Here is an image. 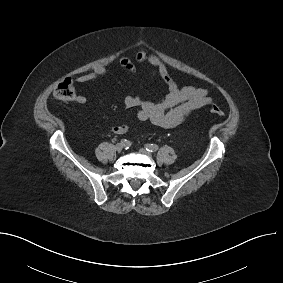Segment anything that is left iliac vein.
I'll return each instance as SVG.
<instances>
[{
    "label": "left iliac vein",
    "mask_w": 283,
    "mask_h": 283,
    "mask_svg": "<svg viewBox=\"0 0 283 283\" xmlns=\"http://www.w3.org/2000/svg\"><path fill=\"white\" fill-rule=\"evenodd\" d=\"M139 152H140L141 154H143V155L148 156V157H151V156H152V153H151L150 151L144 149V148H141V149L139 150Z\"/></svg>",
    "instance_id": "obj_1"
}]
</instances>
